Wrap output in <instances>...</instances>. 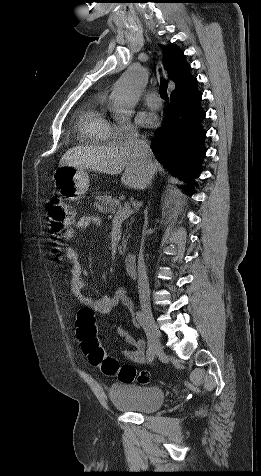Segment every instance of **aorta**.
I'll return each mask as SVG.
<instances>
[{
  "label": "aorta",
  "mask_w": 261,
  "mask_h": 476,
  "mask_svg": "<svg viewBox=\"0 0 261 476\" xmlns=\"http://www.w3.org/2000/svg\"><path fill=\"white\" fill-rule=\"evenodd\" d=\"M142 80L141 69H130L114 86L111 97L112 110L117 119H125L134 112Z\"/></svg>",
  "instance_id": "aorta-1"
}]
</instances>
